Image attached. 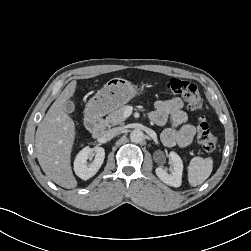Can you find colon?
<instances>
[{"label":"colon","instance_id":"colon-1","mask_svg":"<svg viewBox=\"0 0 251 251\" xmlns=\"http://www.w3.org/2000/svg\"><path fill=\"white\" fill-rule=\"evenodd\" d=\"M166 88L171 93L182 96L186 100L189 110L198 115V143L206 152H213L217 146V139L211 133L208 123L202 114L203 102L197 86L180 78H171L167 81Z\"/></svg>","mask_w":251,"mask_h":251}]
</instances>
